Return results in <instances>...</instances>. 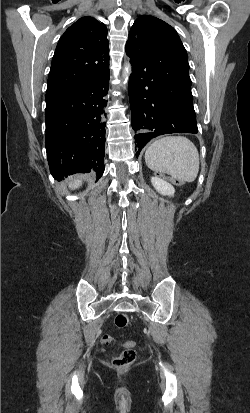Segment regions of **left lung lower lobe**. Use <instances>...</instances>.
Masks as SVG:
<instances>
[{
  "mask_svg": "<svg viewBox=\"0 0 250 413\" xmlns=\"http://www.w3.org/2000/svg\"><path fill=\"white\" fill-rule=\"evenodd\" d=\"M148 52L147 45L126 51L132 64L129 99L131 124L137 132L136 156L147 142L159 135L198 132L191 80L153 72Z\"/></svg>",
  "mask_w": 250,
  "mask_h": 413,
  "instance_id": "1",
  "label": "left lung lower lobe"
}]
</instances>
